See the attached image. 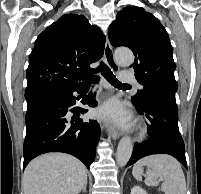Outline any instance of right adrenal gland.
Listing matches in <instances>:
<instances>
[{
    "label": "right adrenal gland",
    "instance_id": "1",
    "mask_svg": "<svg viewBox=\"0 0 201 194\" xmlns=\"http://www.w3.org/2000/svg\"><path fill=\"white\" fill-rule=\"evenodd\" d=\"M82 192H83V193L86 192V185L82 188Z\"/></svg>",
    "mask_w": 201,
    "mask_h": 194
}]
</instances>
